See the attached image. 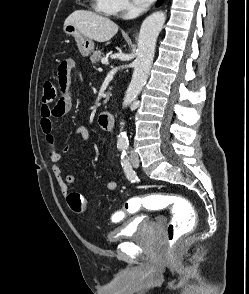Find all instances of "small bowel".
Wrapping results in <instances>:
<instances>
[{"label":"small bowel","mask_w":249,"mask_h":294,"mask_svg":"<svg viewBox=\"0 0 249 294\" xmlns=\"http://www.w3.org/2000/svg\"><path fill=\"white\" fill-rule=\"evenodd\" d=\"M70 69L63 73L58 69V82L62 92V96L53 104L43 103L40 108V129L45 137L47 157L52 165V173L54 179L59 186V189L63 195L67 194L70 185L76 181V176L73 174L64 175L61 168L63 161L62 153L69 152L71 146L69 144L64 145L61 151L56 146V137L54 133L55 120L65 116L72 108L73 105V88L71 73L74 69V62L71 58ZM72 137H79L85 142L92 140L93 135L86 126H79L71 133ZM105 188L108 191H116L118 189V183L115 181H107ZM113 221L118 222L121 220L119 214L113 216Z\"/></svg>","instance_id":"c3829d8e"}]
</instances>
